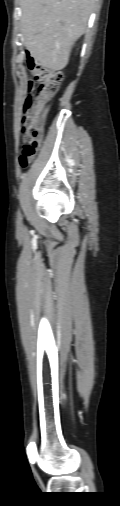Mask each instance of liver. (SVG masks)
Masks as SVG:
<instances>
[{"instance_id": "6515ba94", "label": "liver", "mask_w": 120, "mask_h": 506, "mask_svg": "<svg viewBox=\"0 0 120 506\" xmlns=\"http://www.w3.org/2000/svg\"><path fill=\"white\" fill-rule=\"evenodd\" d=\"M94 6L95 0H20L21 31L31 56L53 71L63 69Z\"/></svg>"}]
</instances>
